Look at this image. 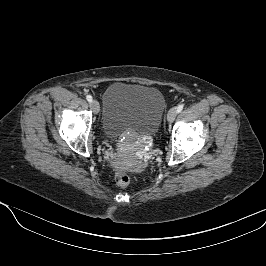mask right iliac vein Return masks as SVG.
<instances>
[{"label":"right iliac vein","instance_id":"right-iliac-vein-1","mask_svg":"<svg viewBox=\"0 0 266 266\" xmlns=\"http://www.w3.org/2000/svg\"><path fill=\"white\" fill-rule=\"evenodd\" d=\"M90 107L95 114L99 112L100 107H99V103L96 100H93L92 102H90Z\"/></svg>","mask_w":266,"mask_h":266}]
</instances>
